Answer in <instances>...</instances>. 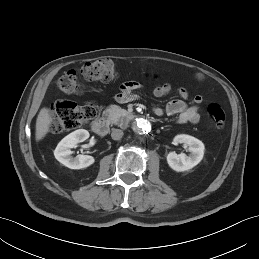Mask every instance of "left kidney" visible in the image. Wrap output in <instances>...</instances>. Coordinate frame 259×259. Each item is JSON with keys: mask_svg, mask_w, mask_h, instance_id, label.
Listing matches in <instances>:
<instances>
[{"mask_svg": "<svg viewBox=\"0 0 259 259\" xmlns=\"http://www.w3.org/2000/svg\"><path fill=\"white\" fill-rule=\"evenodd\" d=\"M174 143H183L188 146L189 156L184 153L170 152L167 155V163L174 171L183 172L192 169L203 159L205 146L199 139L190 135H177Z\"/></svg>", "mask_w": 259, "mask_h": 259, "instance_id": "obj_1", "label": "left kidney"}]
</instances>
